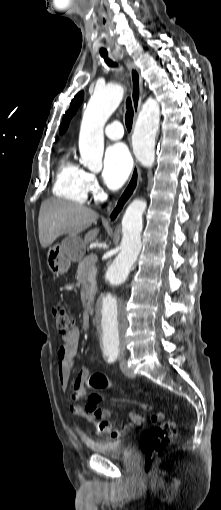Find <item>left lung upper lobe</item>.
I'll return each mask as SVG.
<instances>
[{"label": "left lung upper lobe", "instance_id": "5c2ea615", "mask_svg": "<svg viewBox=\"0 0 221 510\" xmlns=\"http://www.w3.org/2000/svg\"><path fill=\"white\" fill-rule=\"evenodd\" d=\"M83 95H84V92L81 91L72 100L70 109L67 111V113L64 116V119H63V122H62V125L60 128V132H64L67 129L71 117L76 113L78 107L80 106V104L83 101Z\"/></svg>", "mask_w": 221, "mask_h": 510}]
</instances>
